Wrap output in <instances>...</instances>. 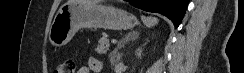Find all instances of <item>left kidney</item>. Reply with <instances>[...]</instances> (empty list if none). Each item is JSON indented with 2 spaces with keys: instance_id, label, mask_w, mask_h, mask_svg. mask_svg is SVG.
Segmentation results:
<instances>
[{
  "instance_id": "left-kidney-1",
  "label": "left kidney",
  "mask_w": 244,
  "mask_h": 73,
  "mask_svg": "<svg viewBox=\"0 0 244 73\" xmlns=\"http://www.w3.org/2000/svg\"><path fill=\"white\" fill-rule=\"evenodd\" d=\"M135 55L136 57L140 58L141 59V55H142V49L141 48H138L135 52Z\"/></svg>"
}]
</instances>
